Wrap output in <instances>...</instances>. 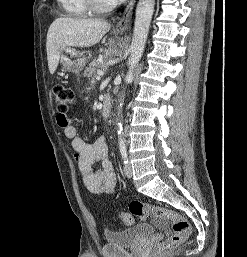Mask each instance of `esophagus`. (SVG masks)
<instances>
[{"mask_svg":"<svg viewBox=\"0 0 247 257\" xmlns=\"http://www.w3.org/2000/svg\"><path fill=\"white\" fill-rule=\"evenodd\" d=\"M134 5H135V0H130L121 18L119 19V21L117 22L114 28L116 32H126L128 30L131 23Z\"/></svg>","mask_w":247,"mask_h":257,"instance_id":"1","label":"esophagus"}]
</instances>
